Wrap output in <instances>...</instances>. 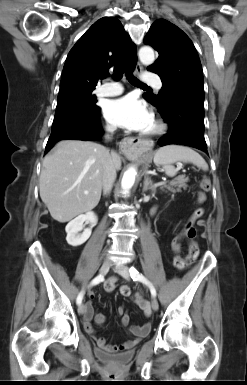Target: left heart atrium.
I'll return each instance as SVG.
<instances>
[{
	"label": "left heart atrium",
	"instance_id": "1",
	"mask_svg": "<svg viewBox=\"0 0 247 385\" xmlns=\"http://www.w3.org/2000/svg\"><path fill=\"white\" fill-rule=\"evenodd\" d=\"M104 114L111 124L132 131H146L153 122L147 105L131 94L108 101Z\"/></svg>",
	"mask_w": 247,
	"mask_h": 385
}]
</instances>
